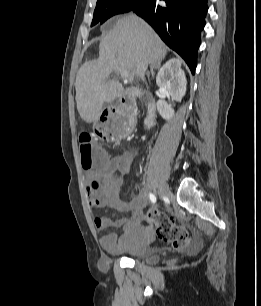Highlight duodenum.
Returning a JSON list of instances; mask_svg holds the SVG:
<instances>
[{
    "label": "duodenum",
    "instance_id": "1",
    "mask_svg": "<svg viewBox=\"0 0 261 306\" xmlns=\"http://www.w3.org/2000/svg\"><path fill=\"white\" fill-rule=\"evenodd\" d=\"M139 96V93L131 88L121 98L120 103L123 109H130L134 106V100ZM145 127L152 128L155 124V104L149 102L147 105V117L145 119Z\"/></svg>",
    "mask_w": 261,
    "mask_h": 306
}]
</instances>
